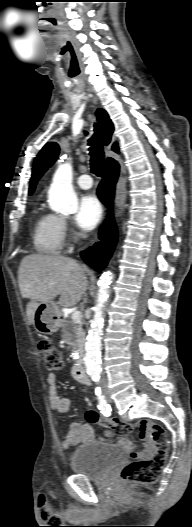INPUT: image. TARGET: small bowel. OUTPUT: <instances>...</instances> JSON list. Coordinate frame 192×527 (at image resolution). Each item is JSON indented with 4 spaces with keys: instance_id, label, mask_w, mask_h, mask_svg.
<instances>
[{
    "instance_id": "1",
    "label": "small bowel",
    "mask_w": 192,
    "mask_h": 527,
    "mask_svg": "<svg viewBox=\"0 0 192 527\" xmlns=\"http://www.w3.org/2000/svg\"><path fill=\"white\" fill-rule=\"evenodd\" d=\"M47 384L49 387V402L53 411L60 414H66L70 411L72 406V401L69 398L62 397L58 394L56 387V375L54 373H49L47 375ZM135 426L132 428V430ZM141 433V439L143 444V450L138 451L135 447L132 446L130 440L122 435L118 440V445L123 446L130 450L131 456L135 458L139 457H148L154 452V445L148 437V431L137 427ZM131 430V431H132ZM112 432L106 430L104 432L105 437H111ZM95 440V434L92 427L87 423H77L73 422L69 427L63 432V437L61 440V447L63 449H69L70 447L81 444V443H90Z\"/></svg>"
}]
</instances>
